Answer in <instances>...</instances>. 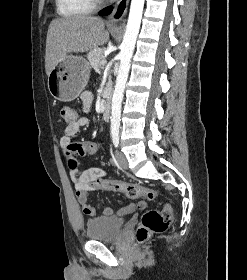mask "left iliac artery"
I'll use <instances>...</instances> for the list:
<instances>
[{
	"instance_id": "obj_1",
	"label": "left iliac artery",
	"mask_w": 247,
	"mask_h": 280,
	"mask_svg": "<svg viewBox=\"0 0 247 280\" xmlns=\"http://www.w3.org/2000/svg\"><path fill=\"white\" fill-rule=\"evenodd\" d=\"M113 144H114L115 147H118V145H119V137L118 136L113 137Z\"/></svg>"
}]
</instances>
